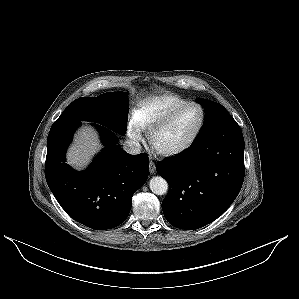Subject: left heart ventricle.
<instances>
[{
  "mask_svg": "<svg viewBox=\"0 0 299 299\" xmlns=\"http://www.w3.org/2000/svg\"><path fill=\"white\" fill-rule=\"evenodd\" d=\"M201 120V110L196 106L185 109L169 126L154 137V147L168 151L185 144L196 131Z\"/></svg>",
  "mask_w": 299,
  "mask_h": 299,
  "instance_id": "1",
  "label": "left heart ventricle"
}]
</instances>
